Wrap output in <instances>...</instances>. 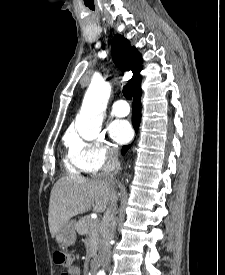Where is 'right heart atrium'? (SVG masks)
Segmentation results:
<instances>
[{"instance_id":"obj_1","label":"right heart atrium","mask_w":225,"mask_h":275,"mask_svg":"<svg viewBox=\"0 0 225 275\" xmlns=\"http://www.w3.org/2000/svg\"><path fill=\"white\" fill-rule=\"evenodd\" d=\"M70 155L84 172H96L117 159V150L108 142L103 133L92 139H84L75 134L68 136Z\"/></svg>"}]
</instances>
